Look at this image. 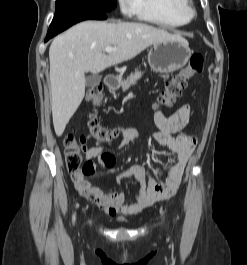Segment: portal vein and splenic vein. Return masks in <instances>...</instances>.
I'll return each mask as SVG.
<instances>
[{
    "instance_id": "portal-vein-and-splenic-vein-1",
    "label": "portal vein and splenic vein",
    "mask_w": 247,
    "mask_h": 265,
    "mask_svg": "<svg viewBox=\"0 0 247 265\" xmlns=\"http://www.w3.org/2000/svg\"><path fill=\"white\" fill-rule=\"evenodd\" d=\"M114 50H116V47L108 46V47L105 48V51H106L107 53H110V52H112V51H114Z\"/></svg>"
}]
</instances>
